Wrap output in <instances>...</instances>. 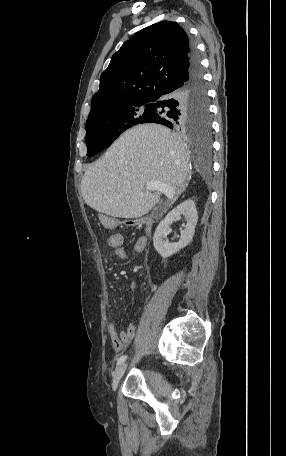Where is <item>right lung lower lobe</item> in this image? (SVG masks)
Wrapping results in <instances>:
<instances>
[{"label":"right lung lower lobe","instance_id":"right-lung-lower-lobe-1","mask_svg":"<svg viewBox=\"0 0 286 456\" xmlns=\"http://www.w3.org/2000/svg\"><path fill=\"white\" fill-rule=\"evenodd\" d=\"M154 114L147 123H159L171 129L204 127L209 120L208 98L202 69L195 48H192L190 66L186 77L176 86L151 99ZM208 135L209 132L200 130Z\"/></svg>","mask_w":286,"mask_h":456}]
</instances>
